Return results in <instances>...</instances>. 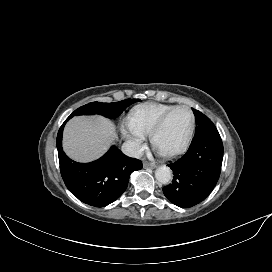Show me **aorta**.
<instances>
[{
  "label": "aorta",
  "instance_id": "762f6f07",
  "mask_svg": "<svg viewBox=\"0 0 272 272\" xmlns=\"http://www.w3.org/2000/svg\"><path fill=\"white\" fill-rule=\"evenodd\" d=\"M155 177L158 182L168 184L172 179V171L166 166L158 167L155 171Z\"/></svg>",
  "mask_w": 272,
  "mask_h": 272
}]
</instances>
